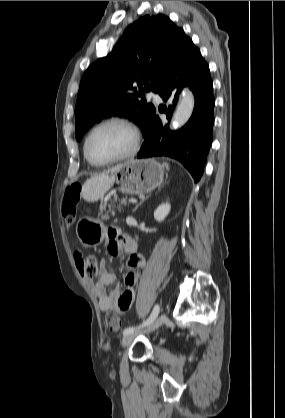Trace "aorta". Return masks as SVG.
<instances>
[{"instance_id": "762f6f07", "label": "aorta", "mask_w": 285, "mask_h": 418, "mask_svg": "<svg viewBox=\"0 0 285 418\" xmlns=\"http://www.w3.org/2000/svg\"><path fill=\"white\" fill-rule=\"evenodd\" d=\"M194 104L195 100L193 93L187 88L184 89L171 120V129L176 130L188 122L192 115Z\"/></svg>"}]
</instances>
